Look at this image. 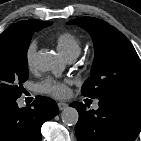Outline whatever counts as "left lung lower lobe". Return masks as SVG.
<instances>
[{
  "label": "left lung lower lobe",
  "instance_id": "obj_1",
  "mask_svg": "<svg viewBox=\"0 0 141 141\" xmlns=\"http://www.w3.org/2000/svg\"><path fill=\"white\" fill-rule=\"evenodd\" d=\"M70 106L79 113L78 141H134L141 131V100L107 96L99 99L96 111L81 102Z\"/></svg>",
  "mask_w": 141,
  "mask_h": 141
}]
</instances>
